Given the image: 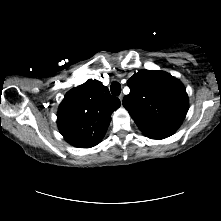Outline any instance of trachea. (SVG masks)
Segmentation results:
<instances>
[{
    "label": "trachea",
    "mask_w": 221,
    "mask_h": 221,
    "mask_svg": "<svg viewBox=\"0 0 221 221\" xmlns=\"http://www.w3.org/2000/svg\"><path fill=\"white\" fill-rule=\"evenodd\" d=\"M111 93L115 96L121 93V85L118 82H113L111 84Z\"/></svg>",
    "instance_id": "trachea-1"
}]
</instances>
